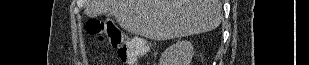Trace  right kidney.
Masks as SVG:
<instances>
[{
    "instance_id": "1",
    "label": "right kidney",
    "mask_w": 309,
    "mask_h": 65,
    "mask_svg": "<svg viewBox=\"0 0 309 65\" xmlns=\"http://www.w3.org/2000/svg\"><path fill=\"white\" fill-rule=\"evenodd\" d=\"M193 55L192 43L187 40H178L162 53L160 65H190Z\"/></svg>"
}]
</instances>
